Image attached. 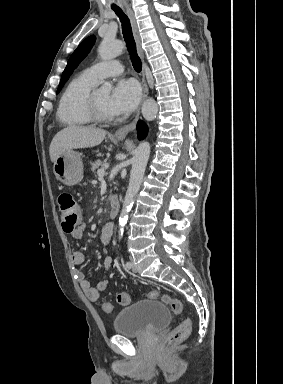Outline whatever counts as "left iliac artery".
<instances>
[{
    "label": "left iliac artery",
    "instance_id": "1",
    "mask_svg": "<svg viewBox=\"0 0 283 384\" xmlns=\"http://www.w3.org/2000/svg\"><path fill=\"white\" fill-rule=\"evenodd\" d=\"M125 266H126V268H128V269H129V268H131V266H132V265H131V263H130V262H126Z\"/></svg>",
    "mask_w": 283,
    "mask_h": 384
}]
</instances>
